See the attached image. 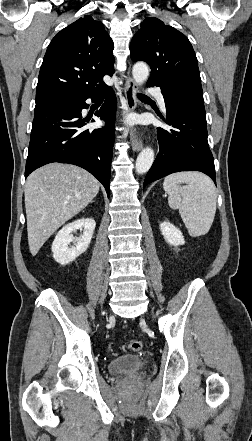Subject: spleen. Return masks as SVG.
Listing matches in <instances>:
<instances>
[{
  "mask_svg": "<svg viewBox=\"0 0 252 441\" xmlns=\"http://www.w3.org/2000/svg\"><path fill=\"white\" fill-rule=\"evenodd\" d=\"M163 188L168 194L170 208L179 209L189 235L198 237L208 233L217 203L213 181L203 173L185 171L167 176Z\"/></svg>",
  "mask_w": 252,
  "mask_h": 441,
  "instance_id": "3e777b00",
  "label": "spleen"
}]
</instances>
